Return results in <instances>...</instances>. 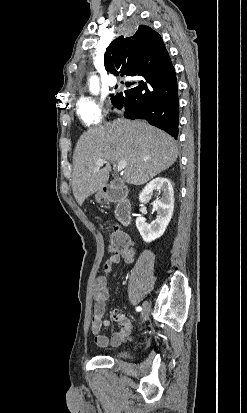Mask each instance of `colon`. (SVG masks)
Returning <instances> with one entry per match:
<instances>
[{"label":"colon","mask_w":247,"mask_h":413,"mask_svg":"<svg viewBox=\"0 0 247 413\" xmlns=\"http://www.w3.org/2000/svg\"><path fill=\"white\" fill-rule=\"evenodd\" d=\"M127 241L128 237L126 232L119 227H115L108 235L107 249L109 251H114L116 248L118 250H123Z\"/></svg>","instance_id":"1"}]
</instances>
